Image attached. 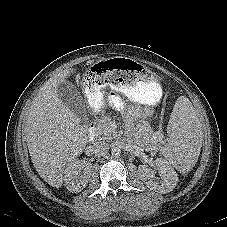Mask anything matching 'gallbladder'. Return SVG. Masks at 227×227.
<instances>
[{
  "mask_svg": "<svg viewBox=\"0 0 227 227\" xmlns=\"http://www.w3.org/2000/svg\"><path fill=\"white\" fill-rule=\"evenodd\" d=\"M57 93L63 104L76 115L81 116L86 111L83 97L77 88L68 80L63 81L57 88Z\"/></svg>",
  "mask_w": 227,
  "mask_h": 227,
  "instance_id": "gallbladder-1",
  "label": "gallbladder"
}]
</instances>
